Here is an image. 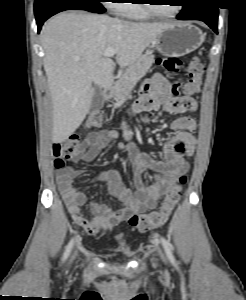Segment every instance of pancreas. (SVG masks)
<instances>
[{
    "label": "pancreas",
    "instance_id": "obj_1",
    "mask_svg": "<svg viewBox=\"0 0 246 300\" xmlns=\"http://www.w3.org/2000/svg\"><path fill=\"white\" fill-rule=\"evenodd\" d=\"M153 63L154 55L145 54L140 56L121 75L120 79L113 86L108 98L113 97L114 100L123 99L132 91L137 82L146 75Z\"/></svg>",
    "mask_w": 246,
    "mask_h": 300
}]
</instances>
